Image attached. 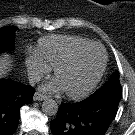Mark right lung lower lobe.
Listing matches in <instances>:
<instances>
[{
	"instance_id": "right-lung-lower-lobe-1",
	"label": "right lung lower lobe",
	"mask_w": 135,
	"mask_h": 135,
	"mask_svg": "<svg viewBox=\"0 0 135 135\" xmlns=\"http://www.w3.org/2000/svg\"><path fill=\"white\" fill-rule=\"evenodd\" d=\"M31 86L10 80L0 81V135H12L19 122V110L32 102Z\"/></svg>"
}]
</instances>
